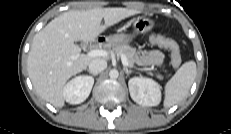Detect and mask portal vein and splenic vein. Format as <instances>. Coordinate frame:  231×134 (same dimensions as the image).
<instances>
[{
  "label": "portal vein and splenic vein",
  "instance_id": "obj_1",
  "mask_svg": "<svg viewBox=\"0 0 231 134\" xmlns=\"http://www.w3.org/2000/svg\"><path fill=\"white\" fill-rule=\"evenodd\" d=\"M87 55L89 57H92V58H95V57H107L109 55V52L105 49H94V50H91L87 53ZM121 61H122V64L125 66V67H128L129 66V62L127 60V57L123 54H121Z\"/></svg>",
  "mask_w": 231,
  "mask_h": 134
}]
</instances>
